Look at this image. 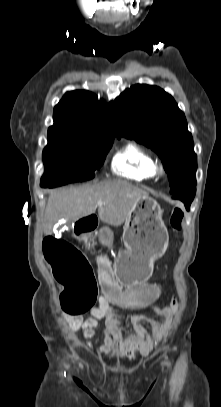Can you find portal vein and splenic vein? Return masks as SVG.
I'll return each mask as SVG.
<instances>
[{
    "label": "portal vein and splenic vein",
    "mask_w": 221,
    "mask_h": 407,
    "mask_svg": "<svg viewBox=\"0 0 221 407\" xmlns=\"http://www.w3.org/2000/svg\"><path fill=\"white\" fill-rule=\"evenodd\" d=\"M103 205V202L102 201H99L98 202V206H102Z\"/></svg>",
    "instance_id": "portal-vein-and-splenic-vein-1"
}]
</instances>
